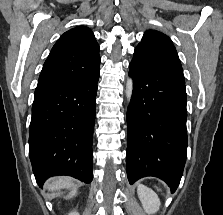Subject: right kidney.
Segmentation results:
<instances>
[{"label":"right kidney","instance_id":"1","mask_svg":"<svg viewBox=\"0 0 223 215\" xmlns=\"http://www.w3.org/2000/svg\"><path fill=\"white\" fill-rule=\"evenodd\" d=\"M68 215H79L78 211H70V213H68Z\"/></svg>","mask_w":223,"mask_h":215}]
</instances>
